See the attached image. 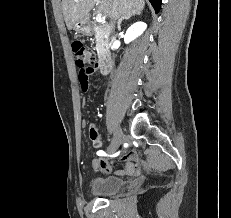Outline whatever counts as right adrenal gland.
I'll list each match as a JSON object with an SVG mask.
<instances>
[{
    "label": "right adrenal gland",
    "instance_id": "obj_1",
    "mask_svg": "<svg viewBox=\"0 0 231 218\" xmlns=\"http://www.w3.org/2000/svg\"><path fill=\"white\" fill-rule=\"evenodd\" d=\"M131 16H126V17H123L122 19L119 20L118 22V28L120 29L121 28V23L124 21V20H128L130 19Z\"/></svg>",
    "mask_w": 231,
    "mask_h": 218
}]
</instances>
